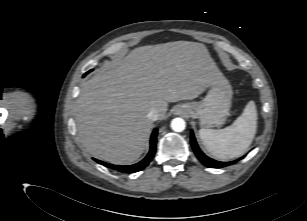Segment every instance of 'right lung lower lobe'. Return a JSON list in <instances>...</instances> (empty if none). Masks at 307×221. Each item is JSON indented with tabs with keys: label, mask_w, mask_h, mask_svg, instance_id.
I'll return each instance as SVG.
<instances>
[{
	"label": "right lung lower lobe",
	"mask_w": 307,
	"mask_h": 221,
	"mask_svg": "<svg viewBox=\"0 0 307 221\" xmlns=\"http://www.w3.org/2000/svg\"><path fill=\"white\" fill-rule=\"evenodd\" d=\"M157 129H155L152 133V136H151V140H150V151L148 153V155L140 162L134 164V165H130V166H116V165H113V164H108V163H105L103 161H100V160H97V159H94L96 162H98L99 164H102L110 169H114V170H117L119 172H122V173H134V172H137V171H140L142 169H144L149 163L150 161L152 160V158L154 157L155 155V151H156V137H157Z\"/></svg>",
	"instance_id": "right-lung-lower-lobe-1"
}]
</instances>
